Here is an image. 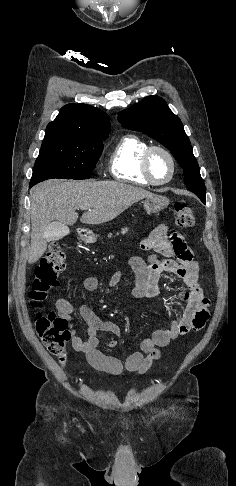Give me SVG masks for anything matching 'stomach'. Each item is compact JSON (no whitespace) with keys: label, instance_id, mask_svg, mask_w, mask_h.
Listing matches in <instances>:
<instances>
[{"label":"stomach","instance_id":"1","mask_svg":"<svg viewBox=\"0 0 236 486\" xmlns=\"http://www.w3.org/2000/svg\"><path fill=\"white\" fill-rule=\"evenodd\" d=\"M168 204L169 199L162 195H153L151 197H147L143 202L145 211L150 214L163 210L168 206ZM83 240L86 242H91L94 240V237L88 235L83 237Z\"/></svg>","mask_w":236,"mask_h":486}]
</instances>
